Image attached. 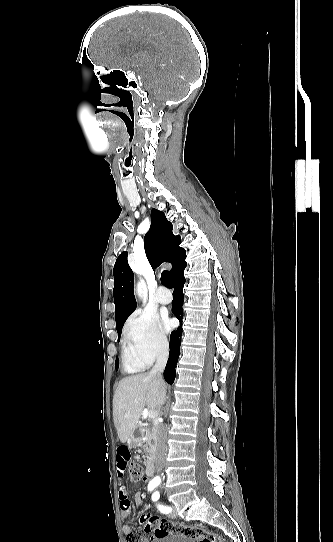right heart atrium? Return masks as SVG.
<instances>
[{
    "label": "right heart atrium",
    "mask_w": 333,
    "mask_h": 542,
    "mask_svg": "<svg viewBox=\"0 0 333 542\" xmlns=\"http://www.w3.org/2000/svg\"><path fill=\"white\" fill-rule=\"evenodd\" d=\"M125 342L142 349L149 357L158 358L169 349V334L164 323L144 312L135 313L123 330Z\"/></svg>",
    "instance_id": "d8ad5b80"
}]
</instances>
